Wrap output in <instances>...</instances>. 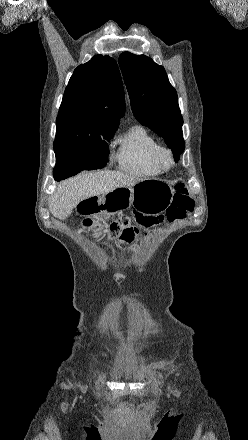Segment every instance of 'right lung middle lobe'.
<instances>
[{"mask_svg": "<svg viewBox=\"0 0 248 440\" xmlns=\"http://www.w3.org/2000/svg\"><path fill=\"white\" fill-rule=\"evenodd\" d=\"M116 130L95 132L77 142L54 147L56 166L53 174L56 181L74 176L82 170H94L106 165L110 140Z\"/></svg>", "mask_w": 248, "mask_h": 440, "instance_id": "1", "label": "right lung middle lobe"}]
</instances>
